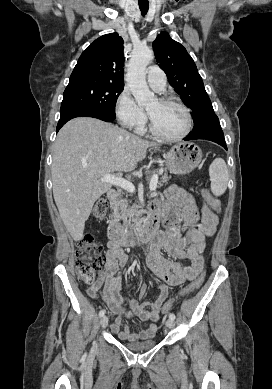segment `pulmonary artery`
Returning <instances> with one entry per match:
<instances>
[{
    "label": "pulmonary artery",
    "instance_id": "obj_1",
    "mask_svg": "<svg viewBox=\"0 0 272 389\" xmlns=\"http://www.w3.org/2000/svg\"><path fill=\"white\" fill-rule=\"evenodd\" d=\"M166 74L156 65H152L147 69V82L157 92H162L166 87Z\"/></svg>",
    "mask_w": 272,
    "mask_h": 389
}]
</instances>
